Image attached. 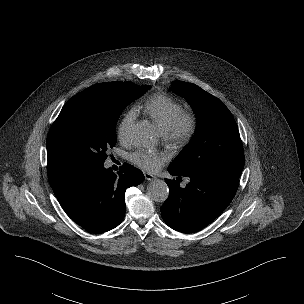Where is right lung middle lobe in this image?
<instances>
[{"label":"right lung middle lobe","instance_id":"obj_1","mask_svg":"<svg viewBox=\"0 0 304 304\" xmlns=\"http://www.w3.org/2000/svg\"><path fill=\"white\" fill-rule=\"evenodd\" d=\"M149 88L126 82L110 92L94 91L72 97L49 131L47 150L79 171L103 165L107 151L116 144L119 114Z\"/></svg>","mask_w":304,"mask_h":304}]
</instances>
